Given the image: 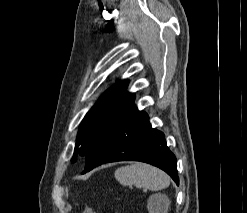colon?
Instances as JSON below:
<instances>
[{
    "label": "colon",
    "instance_id": "1",
    "mask_svg": "<svg viewBox=\"0 0 247 213\" xmlns=\"http://www.w3.org/2000/svg\"><path fill=\"white\" fill-rule=\"evenodd\" d=\"M83 213H94L92 208H90L89 206H86Z\"/></svg>",
    "mask_w": 247,
    "mask_h": 213
}]
</instances>
